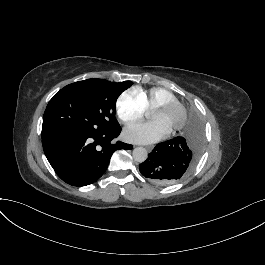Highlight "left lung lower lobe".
<instances>
[{"label":"left lung lower lobe","mask_w":265,"mask_h":265,"mask_svg":"<svg viewBox=\"0 0 265 265\" xmlns=\"http://www.w3.org/2000/svg\"><path fill=\"white\" fill-rule=\"evenodd\" d=\"M203 146L201 121L192 117L183 136L157 144L147 160L140 164L143 176L158 185L180 181L195 166Z\"/></svg>","instance_id":"obj_1"}]
</instances>
